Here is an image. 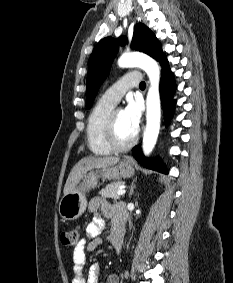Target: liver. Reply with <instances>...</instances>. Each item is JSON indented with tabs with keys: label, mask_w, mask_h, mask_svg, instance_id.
I'll use <instances>...</instances> for the list:
<instances>
[{
	"label": "liver",
	"mask_w": 233,
	"mask_h": 283,
	"mask_svg": "<svg viewBox=\"0 0 233 283\" xmlns=\"http://www.w3.org/2000/svg\"><path fill=\"white\" fill-rule=\"evenodd\" d=\"M120 161L119 157L107 156V157H95L88 156L79 160L72 168L64 186V195L72 192L79 182L82 180L87 171L94 168H106L117 164Z\"/></svg>",
	"instance_id": "liver-1"
}]
</instances>
